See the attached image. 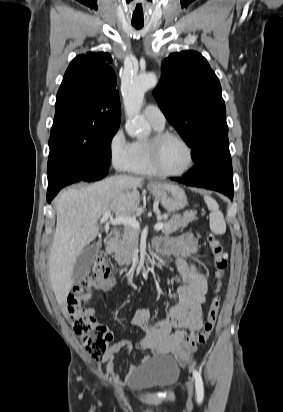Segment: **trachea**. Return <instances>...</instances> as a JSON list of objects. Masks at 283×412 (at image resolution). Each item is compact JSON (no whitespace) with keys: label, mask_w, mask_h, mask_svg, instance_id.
Here are the masks:
<instances>
[{"label":"trachea","mask_w":283,"mask_h":412,"mask_svg":"<svg viewBox=\"0 0 283 412\" xmlns=\"http://www.w3.org/2000/svg\"><path fill=\"white\" fill-rule=\"evenodd\" d=\"M136 29H141L143 27V24H138V23H134L132 24Z\"/></svg>","instance_id":"1"}]
</instances>
